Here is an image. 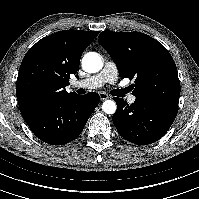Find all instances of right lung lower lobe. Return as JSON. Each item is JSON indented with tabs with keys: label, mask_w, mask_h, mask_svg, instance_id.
<instances>
[{
	"label": "right lung lower lobe",
	"mask_w": 199,
	"mask_h": 199,
	"mask_svg": "<svg viewBox=\"0 0 199 199\" xmlns=\"http://www.w3.org/2000/svg\"><path fill=\"white\" fill-rule=\"evenodd\" d=\"M99 101L95 92L75 94L35 109L23 118L40 140L51 145H64L81 134Z\"/></svg>",
	"instance_id": "obj_1"
}]
</instances>
